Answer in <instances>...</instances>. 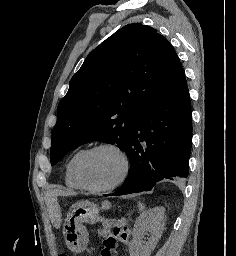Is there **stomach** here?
Returning a JSON list of instances; mask_svg holds the SVG:
<instances>
[{
    "label": "stomach",
    "mask_w": 236,
    "mask_h": 256,
    "mask_svg": "<svg viewBox=\"0 0 236 256\" xmlns=\"http://www.w3.org/2000/svg\"><path fill=\"white\" fill-rule=\"evenodd\" d=\"M110 207L109 202L102 203L103 209ZM99 208L89 201H79L75 203L66 219L64 235L67 247L74 253H81L86 249L88 243V233L84 223L95 224L98 221Z\"/></svg>",
    "instance_id": "obj_1"
}]
</instances>
